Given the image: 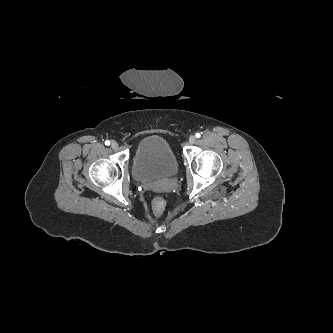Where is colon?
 <instances>
[{
  "mask_svg": "<svg viewBox=\"0 0 333 333\" xmlns=\"http://www.w3.org/2000/svg\"><path fill=\"white\" fill-rule=\"evenodd\" d=\"M165 204L163 199L161 198H156L154 205H153V210L154 213L157 215H161L164 212Z\"/></svg>",
  "mask_w": 333,
  "mask_h": 333,
  "instance_id": "colon-1",
  "label": "colon"
}]
</instances>
